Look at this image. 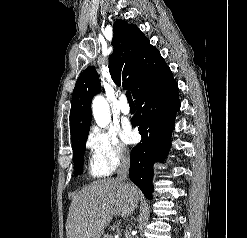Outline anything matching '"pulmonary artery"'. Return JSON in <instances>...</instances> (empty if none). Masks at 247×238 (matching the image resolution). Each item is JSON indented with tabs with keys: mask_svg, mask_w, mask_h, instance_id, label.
<instances>
[{
	"mask_svg": "<svg viewBox=\"0 0 247 238\" xmlns=\"http://www.w3.org/2000/svg\"><path fill=\"white\" fill-rule=\"evenodd\" d=\"M119 109H120L121 113H123L124 115L130 114V107L127 103L125 96H121V98H120Z\"/></svg>",
	"mask_w": 247,
	"mask_h": 238,
	"instance_id": "pulmonary-artery-1",
	"label": "pulmonary artery"
}]
</instances>
